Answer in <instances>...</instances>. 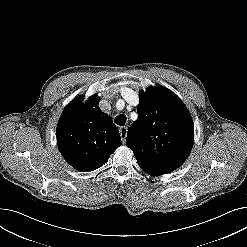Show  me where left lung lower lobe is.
I'll use <instances>...</instances> for the list:
<instances>
[{"instance_id":"left-lung-lower-lobe-1","label":"left lung lower lobe","mask_w":247,"mask_h":247,"mask_svg":"<svg viewBox=\"0 0 247 247\" xmlns=\"http://www.w3.org/2000/svg\"><path fill=\"white\" fill-rule=\"evenodd\" d=\"M145 172L151 174V175H162V174H167L170 173L171 171H165L161 169H156V168H150V167H144L140 166Z\"/></svg>"}]
</instances>
